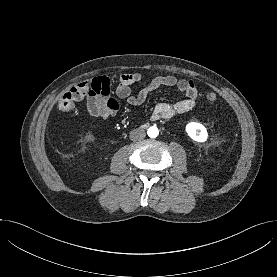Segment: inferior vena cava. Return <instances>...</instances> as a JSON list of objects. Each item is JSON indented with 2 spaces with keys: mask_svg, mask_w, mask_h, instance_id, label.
I'll use <instances>...</instances> for the list:
<instances>
[{
  "mask_svg": "<svg viewBox=\"0 0 277 277\" xmlns=\"http://www.w3.org/2000/svg\"><path fill=\"white\" fill-rule=\"evenodd\" d=\"M145 136H146V133L142 129H134L130 132V135H129L132 141L142 140L145 138Z\"/></svg>",
  "mask_w": 277,
  "mask_h": 277,
  "instance_id": "obj_1",
  "label": "inferior vena cava"
}]
</instances>
